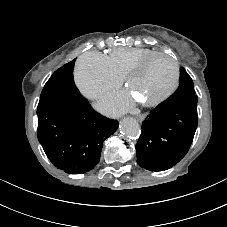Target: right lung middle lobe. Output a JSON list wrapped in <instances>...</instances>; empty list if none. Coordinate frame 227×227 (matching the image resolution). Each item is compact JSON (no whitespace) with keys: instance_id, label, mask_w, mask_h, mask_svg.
I'll return each instance as SVG.
<instances>
[{"instance_id":"dd1d6c3e","label":"right lung middle lobe","mask_w":227,"mask_h":227,"mask_svg":"<svg viewBox=\"0 0 227 227\" xmlns=\"http://www.w3.org/2000/svg\"><path fill=\"white\" fill-rule=\"evenodd\" d=\"M74 61L66 63L52 74L41 92L40 99L50 96L62 98L70 95H80L73 80Z\"/></svg>"}]
</instances>
